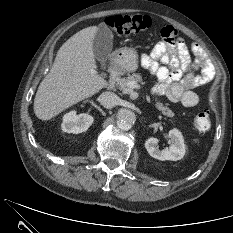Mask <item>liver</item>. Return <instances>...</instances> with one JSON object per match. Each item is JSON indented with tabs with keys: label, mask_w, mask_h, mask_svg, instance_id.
Masks as SVG:
<instances>
[{
	"label": "liver",
	"mask_w": 233,
	"mask_h": 233,
	"mask_svg": "<svg viewBox=\"0 0 233 233\" xmlns=\"http://www.w3.org/2000/svg\"><path fill=\"white\" fill-rule=\"evenodd\" d=\"M97 30V26L80 30L58 50L35 95L34 113L39 119L49 120L108 85L96 71L93 41Z\"/></svg>",
	"instance_id": "6515ba94"
}]
</instances>
